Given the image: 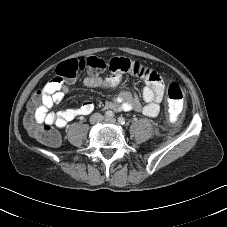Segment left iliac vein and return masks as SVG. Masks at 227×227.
<instances>
[{
  "label": "left iliac vein",
  "instance_id": "left-iliac-vein-1",
  "mask_svg": "<svg viewBox=\"0 0 227 227\" xmlns=\"http://www.w3.org/2000/svg\"><path fill=\"white\" fill-rule=\"evenodd\" d=\"M105 122L107 123H111V124H115L116 123V119L115 118H106L104 119Z\"/></svg>",
  "mask_w": 227,
  "mask_h": 227
}]
</instances>
